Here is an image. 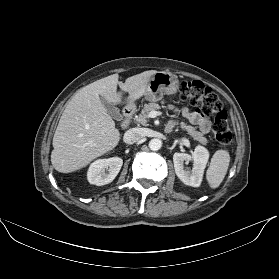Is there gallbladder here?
Segmentation results:
<instances>
[{"label":"gallbladder","mask_w":279,"mask_h":279,"mask_svg":"<svg viewBox=\"0 0 279 279\" xmlns=\"http://www.w3.org/2000/svg\"><path fill=\"white\" fill-rule=\"evenodd\" d=\"M101 102L103 103V105L105 106V108L107 109V112L109 113V115L114 118L115 120H121L122 119V115L120 114L119 110L114 107L110 102H108L104 97H100Z\"/></svg>","instance_id":"obj_1"}]
</instances>
